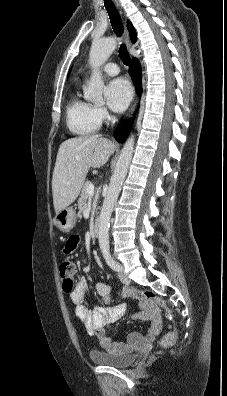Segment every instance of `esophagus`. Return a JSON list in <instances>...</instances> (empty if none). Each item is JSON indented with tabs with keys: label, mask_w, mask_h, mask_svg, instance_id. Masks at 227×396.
Instances as JSON below:
<instances>
[{
	"label": "esophagus",
	"mask_w": 227,
	"mask_h": 396,
	"mask_svg": "<svg viewBox=\"0 0 227 396\" xmlns=\"http://www.w3.org/2000/svg\"><path fill=\"white\" fill-rule=\"evenodd\" d=\"M117 5H118V4H117ZM124 38H125V42H126L127 47L130 48L131 45H132V42H131V39H130V37H129V33H128L126 27H125V30H124ZM135 105H136V100L134 101V104H133V106H132V108H131V110H130L129 115H131L132 112L134 111Z\"/></svg>",
	"instance_id": "esophagus-1"
}]
</instances>
